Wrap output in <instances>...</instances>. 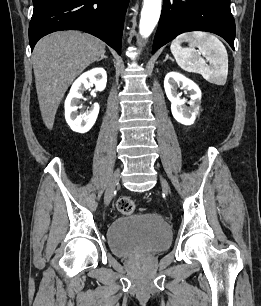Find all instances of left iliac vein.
Returning <instances> with one entry per match:
<instances>
[{
    "label": "left iliac vein",
    "mask_w": 261,
    "mask_h": 306,
    "mask_svg": "<svg viewBox=\"0 0 261 306\" xmlns=\"http://www.w3.org/2000/svg\"><path fill=\"white\" fill-rule=\"evenodd\" d=\"M160 180H161V184H162L163 189H164L167 193H170V187H169L167 181H166L163 177H160Z\"/></svg>",
    "instance_id": "obj_1"
}]
</instances>
